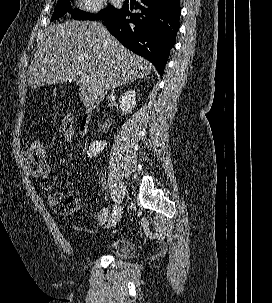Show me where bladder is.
Instances as JSON below:
<instances>
[{
    "mask_svg": "<svg viewBox=\"0 0 272 303\" xmlns=\"http://www.w3.org/2000/svg\"><path fill=\"white\" fill-rule=\"evenodd\" d=\"M132 243L126 238H112L98 247V252L118 259H127L133 252Z\"/></svg>",
    "mask_w": 272,
    "mask_h": 303,
    "instance_id": "obj_1",
    "label": "bladder"
}]
</instances>
